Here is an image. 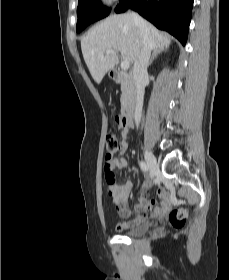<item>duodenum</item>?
<instances>
[{
	"mask_svg": "<svg viewBox=\"0 0 229 280\" xmlns=\"http://www.w3.org/2000/svg\"><path fill=\"white\" fill-rule=\"evenodd\" d=\"M112 77L115 82L128 83V98L122 112V125L125 129H128L133 124L134 113L137 106V87L134 82V74L133 72L115 70Z\"/></svg>",
	"mask_w": 229,
	"mask_h": 280,
	"instance_id": "410a0bca",
	"label": "duodenum"
}]
</instances>
